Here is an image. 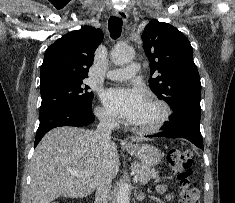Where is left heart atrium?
<instances>
[{
    "label": "left heart atrium",
    "mask_w": 235,
    "mask_h": 203,
    "mask_svg": "<svg viewBox=\"0 0 235 203\" xmlns=\"http://www.w3.org/2000/svg\"><path fill=\"white\" fill-rule=\"evenodd\" d=\"M102 101L111 113L132 122L147 103L144 92L138 87H116L103 92Z\"/></svg>",
    "instance_id": "39dd6f15"
}]
</instances>
